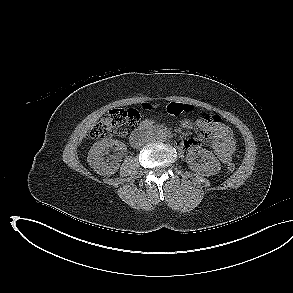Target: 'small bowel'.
Masks as SVG:
<instances>
[{
  "label": "small bowel",
  "instance_id": "c3829d8e",
  "mask_svg": "<svg viewBox=\"0 0 293 293\" xmlns=\"http://www.w3.org/2000/svg\"><path fill=\"white\" fill-rule=\"evenodd\" d=\"M145 109H151L149 104L144 105ZM152 121L145 119L143 125H151ZM181 125L185 129L192 128L193 124L190 120L184 119ZM196 127L200 130L199 138H183L178 142L180 149H188L201 144L203 140H208L210 147L222 163H227L231 160L235 150V140L231 130L219 123L211 122L202 116L196 121Z\"/></svg>",
  "mask_w": 293,
  "mask_h": 293
}]
</instances>
